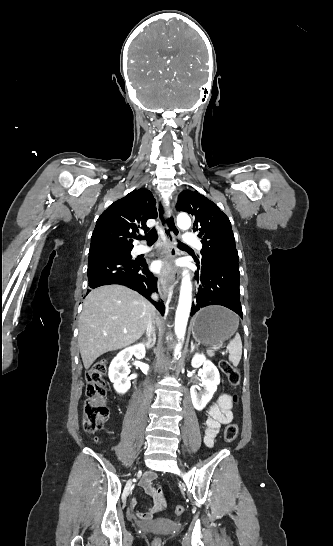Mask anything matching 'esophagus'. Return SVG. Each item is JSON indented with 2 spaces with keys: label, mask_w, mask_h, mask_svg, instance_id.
Returning <instances> with one entry per match:
<instances>
[{
  "label": "esophagus",
  "mask_w": 333,
  "mask_h": 546,
  "mask_svg": "<svg viewBox=\"0 0 333 546\" xmlns=\"http://www.w3.org/2000/svg\"><path fill=\"white\" fill-rule=\"evenodd\" d=\"M157 208L161 215H165V235L167 239L168 249L166 251L167 268L163 274L158 278L159 291L163 297H166L171 288L168 282L173 278L172 261L178 256V249L176 247L175 238L179 237L180 231L175 223V218L170 207H164L162 200L159 198L157 201Z\"/></svg>",
  "instance_id": "34e87169"
}]
</instances>
